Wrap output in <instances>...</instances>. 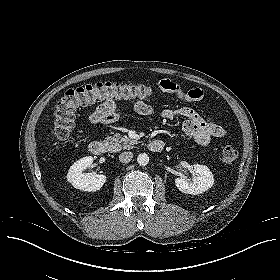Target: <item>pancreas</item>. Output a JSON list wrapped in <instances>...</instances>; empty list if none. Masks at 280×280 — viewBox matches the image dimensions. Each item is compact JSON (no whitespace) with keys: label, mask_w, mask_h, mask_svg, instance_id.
I'll list each match as a JSON object with an SVG mask.
<instances>
[{"label":"pancreas","mask_w":280,"mask_h":280,"mask_svg":"<svg viewBox=\"0 0 280 280\" xmlns=\"http://www.w3.org/2000/svg\"><path fill=\"white\" fill-rule=\"evenodd\" d=\"M106 144L112 152L120 151L121 149H131L138 141L132 140L127 136L121 137L119 134L106 137Z\"/></svg>","instance_id":"pancreas-1"}]
</instances>
